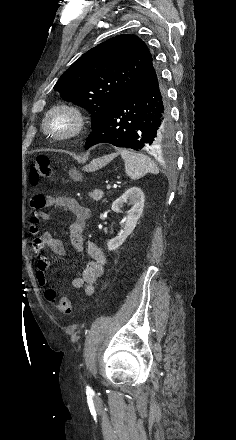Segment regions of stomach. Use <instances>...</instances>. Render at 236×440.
I'll return each mask as SVG.
<instances>
[{"label": "stomach", "instance_id": "1", "mask_svg": "<svg viewBox=\"0 0 236 440\" xmlns=\"http://www.w3.org/2000/svg\"><path fill=\"white\" fill-rule=\"evenodd\" d=\"M100 161L95 160L93 161L87 168L86 170H93L99 167ZM69 175L70 177L74 180V181H82L83 177L82 175L79 173V171L75 170V169H71L69 171Z\"/></svg>", "mask_w": 236, "mask_h": 440}]
</instances>
